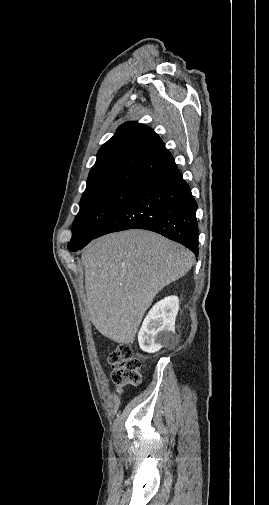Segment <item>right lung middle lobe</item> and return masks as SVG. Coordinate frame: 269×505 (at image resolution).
<instances>
[{
  "label": "right lung middle lobe",
  "mask_w": 269,
  "mask_h": 505,
  "mask_svg": "<svg viewBox=\"0 0 269 505\" xmlns=\"http://www.w3.org/2000/svg\"><path fill=\"white\" fill-rule=\"evenodd\" d=\"M128 185H102L85 190L72 226L68 250L77 251L96 238L103 227L137 190Z\"/></svg>",
  "instance_id": "obj_1"
}]
</instances>
